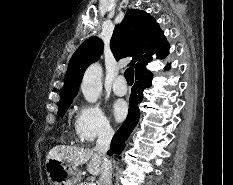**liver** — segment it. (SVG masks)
Listing matches in <instances>:
<instances>
[{
  "label": "liver",
  "instance_id": "obj_1",
  "mask_svg": "<svg viewBox=\"0 0 233 185\" xmlns=\"http://www.w3.org/2000/svg\"><path fill=\"white\" fill-rule=\"evenodd\" d=\"M49 158L64 160L74 167L87 164V171L94 176L101 173L105 162L104 157L93 149L65 145L53 147L48 152L46 160Z\"/></svg>",
  "mask_w": 233,
  "mask_h": 185
}]
</instances>
